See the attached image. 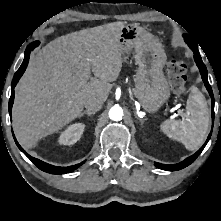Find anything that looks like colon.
Wrapping results in <instances>:
<instances>
[{"mask_svg":"<svg viewBox=\"0 0 221 221\" xmlns=\"http://www.w3.org/2000/svg\"><path fill=\"white\" fill-rule=\"evenodd\" d=\"M187 66L183 61L173 60L168 65V79L171 88L176 93L185 89Z\"/></svg>","mask_w":221,"mask_h":221,"instance_id":"colon-1","label":"colon"}]
</instances>
